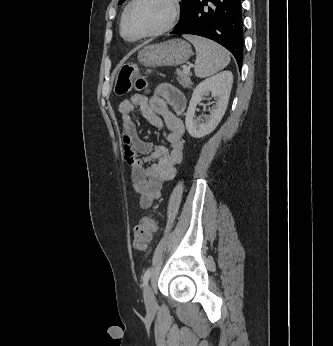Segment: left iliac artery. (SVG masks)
<instances>
[{
  "mask_svg": "<svg viewBox=\"0 0 333 346\" xmlns=\"http://www.w3.org/2000/svg\"><path fill=\"white\" fill-rule=\"evenodd\" d=\"M150 275H151V268H148L142 277L143 285H147V283L150 279Z\"/></svg>",
  "mask_w": 333,
  "mask_h": 346,
  "instance_id": "44dca946",
  "label": "left iliac artery"
}]
</instances>
